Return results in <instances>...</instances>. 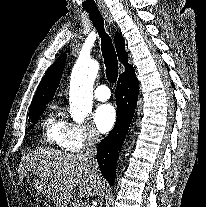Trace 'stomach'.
Here are the masks:
<instances>
[{
    "label": "stomach",
    "instance_id": "stomach-1",
    "mask_svg": "<svg viewBox=\"0 0 206 207\" xmlns=\"http://www.w3.org/2000/svg\"><path fill=\"white\" fill-rule=\"evenodd\" d=\"M31 185L38 191L41 192L42 194L46 195L48 197V185L46 184L45 181H43L40 178H33L31 181Z\"/></svg>",
    "mask_w": 206,
    "mask_h": 207
}]
</instances>
